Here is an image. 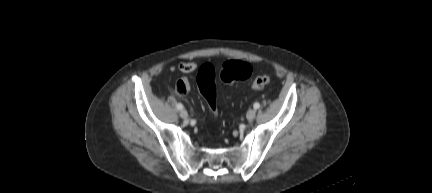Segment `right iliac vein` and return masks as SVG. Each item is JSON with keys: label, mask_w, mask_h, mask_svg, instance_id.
<instances>
[{"label": "right iliac vein", "mask_w": 432, "mask_h": 193, "mask_svg": "<svg viewBox=\"0 0 432 193\" xmlns=\"http://www.w3.org/2000/svg\"><path fill=\"white\" fill-rule=\"evenodd\" d=\"M180 117L183 118V119H187V118H188V113H187V111L184 110V109H182V110L180 111Z\"/></svg>", "instance_id": "1"}]
</instances>
